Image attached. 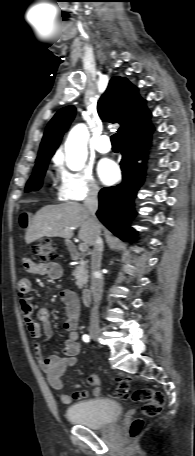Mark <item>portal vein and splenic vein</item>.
I'll return each mask as SVG.
<instances>
[{
	"instance_id": "18ae733b",
	"label": "portal vein and splenic vein",
	"mask_w": 195,
	"mask_h": 456,
	"mask_svg": "<svg viewBox=\"0 0 195 456\" xmlns=\"http://www.w3.org/2000/svg\"><path fill=\"white\" fill-rule=\"evenodd\" d=\"M87 249H88V246H87L85 243H81V244L79 245V250H80L81 252H85Z\"/></svg>"
}]
</instances>
